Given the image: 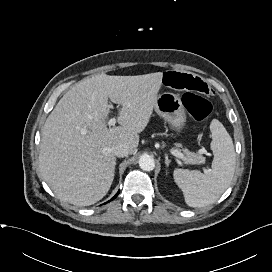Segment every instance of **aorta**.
<instances>
[{"label":"aorta","mask_w":272,"mask_h":272,"mask_svg":"<svg viewBox=\"0 0 272 272\" xmlns=\"http://www.w3.org/2000/svg\"><path fill=\"white\" fill-rule=\"evenodd\" d=\"M139 166L144 171H152L155 168V161L150 155L143 154L139 158Z\"/></svg>","instance_id":"1"}]
</instances>
